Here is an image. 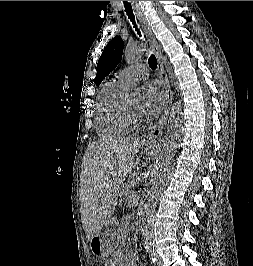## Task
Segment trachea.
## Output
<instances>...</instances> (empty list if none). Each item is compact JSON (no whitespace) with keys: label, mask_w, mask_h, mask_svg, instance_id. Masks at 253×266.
<instances>
[{"label":"trachea","mask_w":253,"mask_h":266,"mask_svg":"<svg viewBox=\"0 0 253 266\" xmlns=\"http://www.w3.org/2000/svg\"><path fill=\"white\" fill-rule=\"evenodd\" d=\"M124 7H125V11H126V13L128 15V18L133 23L134 28L136 29L137 33L139 35H141V32L137 28V25H136V22H135V16L133 14V10H132L131 4L128 3L127 1H124ZM148 62H149V66L151 67V69L155 70L157 68V59H156L154 54L150 55Z\"/></svg>","instance_id":"obj_1"}]
</instances>
